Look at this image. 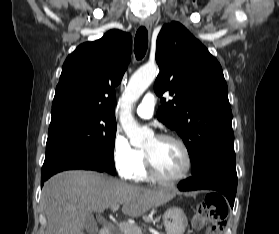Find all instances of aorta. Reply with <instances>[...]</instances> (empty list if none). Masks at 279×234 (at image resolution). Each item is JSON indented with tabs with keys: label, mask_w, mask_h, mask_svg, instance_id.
<instances>
[{
	"label": "aorta",
	"mask_w": 279,
	"mask_h": 234,
	"mask_svg": "<svg viewBox=\"0 0 279 234\" xmlns=\"http://www.w3.org/2000/svg\"><path fill=\"white\" fill-rule=\"evenodd\" d=\"M157 74L158 67L156 64L152 63L141 67L131 76L124 92L120 122L131 144L135 146L143 145L152 132L147 128H141L137 124L132 115V107L151 85Z\"/></svg>",
	"instance_id": "obj_1"
}]
</instances>
